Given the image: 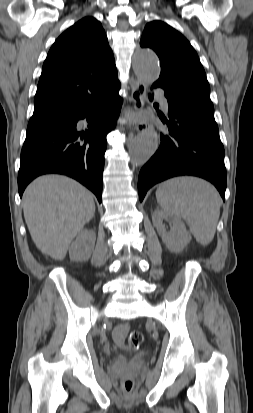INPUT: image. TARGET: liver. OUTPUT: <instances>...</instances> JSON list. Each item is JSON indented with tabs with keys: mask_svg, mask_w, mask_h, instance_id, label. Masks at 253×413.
<instances>
[{
	"mask_svg": "<svg viewBox=\"0 0 253 413\" xmlns=\"http://www.w3.org/2000/svg\"><path fill=\"white\" fill-rule=\"evenodd\" d=\"M23 212L37 248L63 260L72 240L94 216V197L71 178L41 176L26 188Z\"/></svg>",
	"mask_w": 253,
	"mask_h": 413,
	"instance_id": "liver-1",
	"label": "liver"
}]
</instances>
